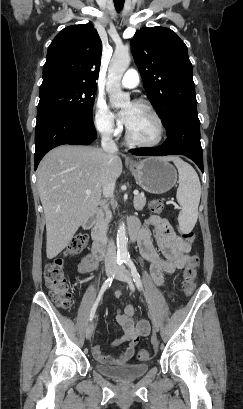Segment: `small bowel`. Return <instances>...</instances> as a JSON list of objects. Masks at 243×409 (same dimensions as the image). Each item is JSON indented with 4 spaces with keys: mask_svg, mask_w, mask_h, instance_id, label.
<instances>
[{
    "mask_svg": "<svg viewBox=\"0 0 243 409\" xmlns=\"http://www.w3.org/2000/svg\"><path fill=\"white\" fill-rule=\"evenodd\" d=\"M130 230L138 232V245L141 255L150 263L151 276L158 285H163L164 274H172L186 265L191 246L180 236L174 233L169 223L160 216H151L145 226L140 227L135 219L129 222ZM153 229L157 247L154 246L149 228ZM99 267V263L93 255H86L78 264L79 274H86ZM122 295L120 289L115 290L114 297ZM134 307L126 304L123 312L117 315V321L122 329V334L112 341L113 347H118L127 343L125 350L117 355L110 356L104 353L99 344L91 347L95 360L105 364L123 365L134 355L135 348L141 336L148 331V326L144 321L135 323L133 318Z\"/></svg>",
    "mask_w": 243,
    "mask_h": 409,
    "instance_id": "small-bowel-1",
    "label": "small bowel"
}]
</instances>
